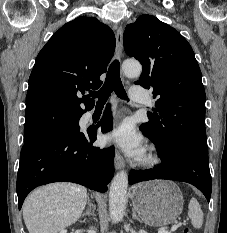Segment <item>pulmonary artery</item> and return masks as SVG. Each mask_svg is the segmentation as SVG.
<instances>
[{
	"label": "pulmonary artery",
	"mask_w": 227,
	"mask_h": 233,
	"mask_svg": "<svg viewBox=\"0 0 227 233\" xmlns=\"http://www.w3.org/2000/svg\"><path fill=\"white\" fill-rule=\"evenodd\" d=\"M130 98L136 102H141V103L145 102V98L143 94L135 88H132L130 90Z\"/></svg>",
	"instance_id": "pulmonary-artery-1"
}]
</instances>
